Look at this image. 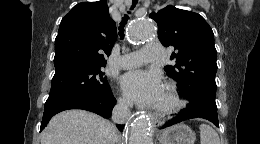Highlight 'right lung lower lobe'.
<instances>
[{
  "label": "right lung lower lobe",
  "instance_id": "1",
  "mask_svg": "<svg viewBox=\"0 0 260 144\" xmlns=\"http://www.w3.org/2000/svg\"><path fill=\"white\" fill-rule=\"evenodd\" d=\"M116 104V99L110 93L107 96L94 98V99H66L45 103L43 119L41 122L40 130H43L49 120L57 113L68 109H83L101 115L104 118H109L112 109ZM117 128L122 131L124 125L117 124Z\"/></svg>",
  "mask_w": 260,
  "mask_h": 144
}]
</instances>
